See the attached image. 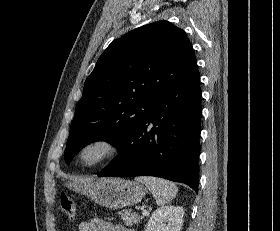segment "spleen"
Wrapping results in <instances>:
<instances>
[{"label":"spleen","mask_w":280,"mask_h":231,"mask_svg":"<svg viewBox=\"0 0 280 231\" xmlns=\"http://www.w3.org/2000/svg\"><path fill=\"white\" fill-rule=\"evenodd\" d=\"M135 179L147 185L158 205L169 203L178 191V187H176L173 181L162 179V177H149V175L146 177V175H143V177H135Z\"/></svg>","instance_id":"spleen-1"}]
</instances>
